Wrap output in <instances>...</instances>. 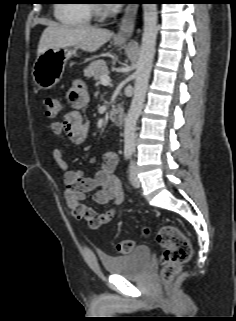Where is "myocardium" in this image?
Segmentation results:
<instances>
[{"mask_svg":"<svg viewBox=\"0 0 236 321\" xmlns=\"http://www.w3.org/2000/svg\"><path fill=\"white\" fill-rule=\"evenodd\" d=\"M90 7L92 10V13L98 19H103L111 14V10L109 6L103 3H99V2L90 3Z\"/></svg>","mask_w":236,"mask_h":321,"instance_id":"myocardium-1","label":"myocardium"}]
</instances>
